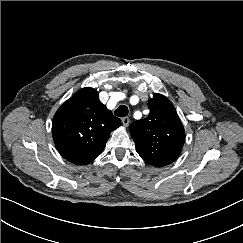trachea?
<instances>
[{
  "label": "trachea",
  "instance_id": "1",
  "mask_svg": "<svg viewBox=\"0 0 243 243\" xmlns=\"http://www.w3.org/2000/svg\"><path fill=\"white\" fill-rule=\"evenodd\" d=\"M118 117H125L128 115V108L125 105H120L114 112Z\"/></svg>",
  "mask_w": 243,
  "mask_h": 243
}]
</instances>
